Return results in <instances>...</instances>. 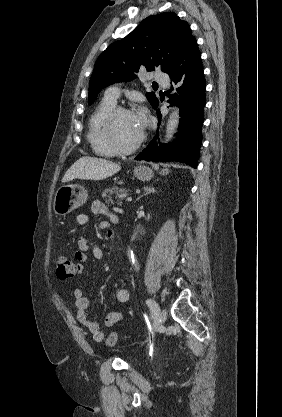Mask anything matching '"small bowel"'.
Masks as SVG:
<instances>
[{
  "label": "small bowel",
  "mask_w": 282,
  "mask_h": 417,
  "mask_svg": "<svg viewBox=\"0 0 282 417\" xmlns=\"http://www.w3.org/2000/svg\"><path fill=\"white\" fill-rule=\"evenodd\" d=\"M91 210L94 214L106 217L98 225V229L106 230L109 235L114 234V229L119 223L116 214L111 212L108 207L99 200L92 202ZM76 222L80 226H88L90 224V217L87 213H79L76 217ZM88 252L91 253L95 260L101 261L105 257L104 249L96 244L91 243L86 236H81L78 240V247L74 252V259L76 260L75 268L77 273L84 271V265L88 261ZM74 299L77 309V320L84 329L91 333L93 339L97 342L104 340L105 334L100 326L94 322L88 315L89 300L85 296L82 289L74 290ZM130 299V291L127 288H119L116 291V300L119 303H127ZM122 320V314L117 311H111L106 314L104 318V325L106 327H113Z\"/></svg>",
  "instance_id": "small-bowel-1"
}]
</instances>
